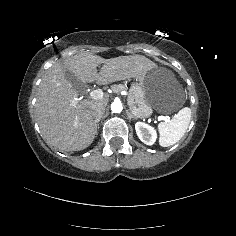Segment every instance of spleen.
Here are the masks:
<instances>
[{
	"instance_id": "spleen-1",
	"label": "spleen",
	"mask_w": 236,
	"mask_h": 236,
	"mask_svg": "<svg viewBox=\"0 0 236 236\" xmlns=\"http://www.w3.org/2000/svg\"><path fill=\"white\" fill-rule=\"evenodd\" d=\"M191 120V109L185 107L174 117L165 123L160 124V144L163 147L177 143L185 134Z\"/></svg>"
}]
</instances>
